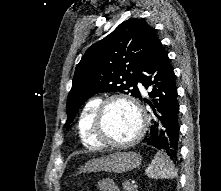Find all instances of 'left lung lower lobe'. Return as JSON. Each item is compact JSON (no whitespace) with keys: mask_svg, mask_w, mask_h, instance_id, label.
Wrapping results in <instances>:
<instances>
[{"mask_svg":"<svg viewBox=\"0 0 221 191\" xmlns=\"http://www.w3.org/2000/svg\"><path fill=\"white\" fill-rule=\"evenodd\" d=\"M138 82L142 83L145 88L153 86L149 96L154 98V105L151 103L149 105L153 108L156 107L161 114V116L156 114L160 122H155L151 128L150 136L144 140L175 161L178 155L180 129L177 87L168 54L157 38L151 44Z\"/></svg>","mask_w":221,"mask_h":191,"instance_id":"left-lung-lower-lobe-1","label":"left lung lower lobe"}]
</instances>
